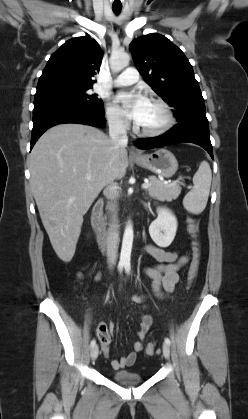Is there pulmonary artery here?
I'll list each match as a JSON object with an SVG mask.
<instances>
[{
	"label": "pulmonary artery",
	"mask_w": 248,
	"mask_h": 419,
	"mask_svg": "<svg viewBox=\"0 0 248 419\" xmlns=\"http://www.w3.org/2000/svg\"><path fill=\"white\" fill-rule=\"evenodd\" d=\"M139 80V73L135 68L129 67L124 70L114 81L115 86H128Z\"/></svg>",
	"instance_id": "obj_1"
}]
</instances>
